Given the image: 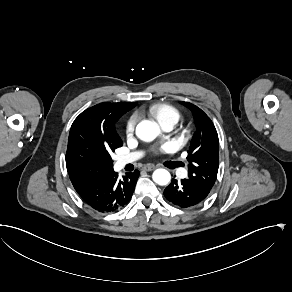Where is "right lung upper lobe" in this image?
<instances>
[{
	"mask_svg": "<svg viewBox=\"0 0 292 292\" xmlns=\"http://www.w3.org/2000/svg\"><path fill=\"white\" fill-rule=\"evenodd\" d=\"M137 105L136 103H101L83 111L74 122L83 128L98 132L103 136L119 137L115 130V123L127 111ZM112 169L104 170L108 172ZM68 172H85L82 170H68Z\"/></svg>",
	"mask_w": 292,
	"mask_h": 292,
	"instance_id": "cb5924a9",
	"label": "right lung upper lobe"
}]
</instances>
